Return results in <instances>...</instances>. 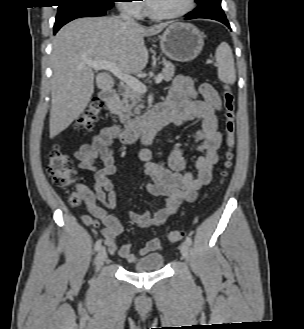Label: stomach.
Here are the masks:
<instances>
[{"mask_svg": "<svg viewBox=\"0 0 304 329\" xmlns=\"http://www.w3.org/2000/svg\"><path fill=\"white\" fill-rule=\"evenodd\" d=\"M203 46V33L189 23H173L160 36L162 52L174 61L188 62L195 59Z\"/></svg>", "mask_w": 304, "mask_h": 329, "instance_id": "obj_1", "label": "stomach"}]
</instances>
